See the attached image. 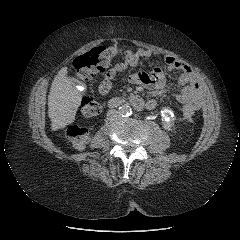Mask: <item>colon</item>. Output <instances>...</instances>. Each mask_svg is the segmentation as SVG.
Here are the masks:
<instances>
[{
    "label": "colon",
    "instance_id": "1",
    "mask_svg": "<svg viewBox=\"0 0 240 240\" xmlns=\"http://www.w3.org/2000/svg\"><path fill=\"white\" fill-rule=\"evenodd\" d=\"M119 52L120 49L117 46L98 47L79 56L74 61V69L77 77L82 81H88L94 75L105 72L112 59ZM81 107L83 114L87 117H95L101 111L99 103L91 96L83 97ZM183 114L186 121H194L195 110L192 106L185 105ZM66 137L75 149L82 150L88 143L89 131L82 123L73 124L67 128Z\"/></svg>",
    "mask_w": 240,
    "mask_h": 240
}]
</instances>
